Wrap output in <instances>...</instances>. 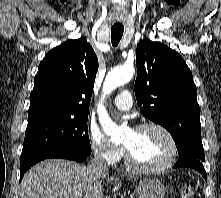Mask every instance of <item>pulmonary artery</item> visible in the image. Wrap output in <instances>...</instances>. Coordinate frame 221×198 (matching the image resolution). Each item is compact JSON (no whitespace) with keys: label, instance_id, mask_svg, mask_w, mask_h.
Segmentation results:
<instances>
[{"label":"pulmonary artery","instance_id":"1","mask_svg":"<svg viewBox=\"0 0 221 198\" xmlns=\"http://www.w3.org/2000/svg\"><path fill=\"white\" fill-rule=\"evenodd\" d=\"M114 106L121 111H127L132 106V97L129 91L119 93L114 99Z\"/></svg>","mask_w":221,"mask_h":198}]
</instances>
